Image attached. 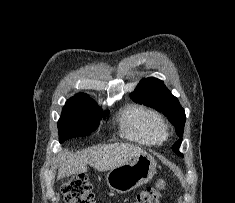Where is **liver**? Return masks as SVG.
<instances>
[{
  "instance_id": "obj_1",
  "label": "liver",
  "mask_w": 235,
  "mask_h": 203,
  "mask_svg": "<svg viewBox=\"0 0 235 203\" xmlns=\"http://www.w3.org/2000/svg\"><path fill=\"white\" fill-rule=\"evenodd\" d=\"M146 152L138 146L127 143H114L102 147H92L73 154L68 150L59 156L58 179L87 171V165L103 172L119 167Z\"/></svg>"
}]
</instances>
